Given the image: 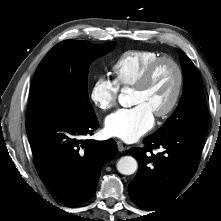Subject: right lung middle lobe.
<instances>
[{
	"instance_id": "obj_1",
	"label": "right lung middle lobe",
	"mask_w": 221,
	"mask_h": 221,
	"mask_svg": "<svg viewBox=\"0 0 221 221\" xmlns=\"http://www.w3.org/2000/svg\"><path fill=\"white\" fill-rule=\"evenodd\" d=\"M113 42L102 45L65 40L54 46L39 64L33 78L27 115L58 114L69 118L96 117L88 99L90 64L107 54Z\"/></svg>"
}]
</instances>
